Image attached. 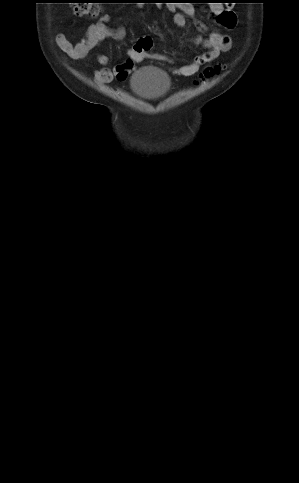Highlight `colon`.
I'll return each instance as SVG.
<instances>
[{
  "label": "colon",
  "mask_w": 299,
  "mask_h": 483,
  "mask_svg": "<svg viewBox=\"0 0 299 483\" xmlns=\"http://www.w3.org/2000/svg\"><path fill=\"white\" fill-rule=\"evenodd\" d=\"M74 7V14L78 17H96L101 12L100 3H106L103 0H78ZM190 3H195L191 0ZM220 71L219 67L211 66L205 69L204 76L212 77L218 74Z\"/></svg>",
  "instance_id": "5ec220e1"
}]
</instances>
